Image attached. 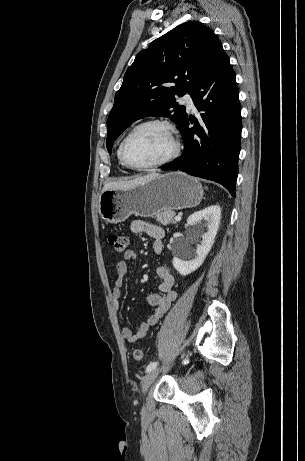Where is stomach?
I'll return each instance as SVG.
<instances>
[{
    "label": "stomach",
    "mask_w": 305,
    "mask_h": 461,
    "mask_svg": "<svg viewBox=\"0 0 305 461\" xmlns=\"http://www.w3.org/2000/svg\"><path fill=\"white\" fill-rule=\"evenodd\" d=\"M203 197L199 181L183 172H169L128 189L101 193L99 214L109 223H120L130 215L152 217L161 211L197 206Z\"/></svg>",
    "instance_id": "obj_1"
}]
</instances>
